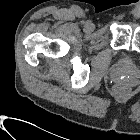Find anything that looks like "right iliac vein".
<instances>
[{"mask_svg": "<svg viewBox=\"0 0 140 140\" xmlns=\"http://www.w3.org/2000/svg\"><path fill=\"white\" fill-rule=\"evenodd\" d=\"M85 28L87 31H92L94 29V24L91 22H88Z\"/></svg>", "mask_w": 140, "mask_h": 140, "instance_id": "right-iliac-vein-1", "label": "right iliac vein"}]
</instances>
